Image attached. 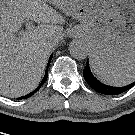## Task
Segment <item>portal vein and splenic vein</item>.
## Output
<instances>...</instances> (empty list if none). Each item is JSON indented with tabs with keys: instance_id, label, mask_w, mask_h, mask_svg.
<instances>
[{
	"instance_id": "portal-vein-and-splenic-vein-1",
	"label": "portal vein and splenic vein",
	"mask_w": 135,
	"mask_h": 135,
	"mask_svg": "<svg viewBox=\"0 0 135 135\" xmlns=\"http://www.w3.org/2000/svg\"><path fill=\"white\" fill-rule=\"evenodd\" d=\"M33 27H34L33 24L30 23V22L26 24V29L27 30L32 29Z\"/></svg>"
}]
</instances>
